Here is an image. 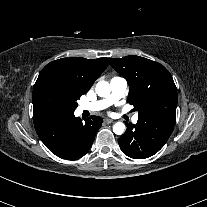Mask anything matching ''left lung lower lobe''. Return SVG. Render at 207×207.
<instances>
[{
    "instance_id": "1",
    "label": "left lung lower lobe",
    "mask_w": 207,
    "mask_h": 207,
    "mask_svg": "<svg viewBox=\"0 0 207 207\" xmlns=\"http://www.w3.org/2000/svg\"><path fill=\"white\" fill-rule=\"evenodd\" d=\"M175 122L156 118H138L136 125L127 124L118 139L123 153L130 158L144 159L156 154L169 139Z\"/></svg>"
}]
</instances>
